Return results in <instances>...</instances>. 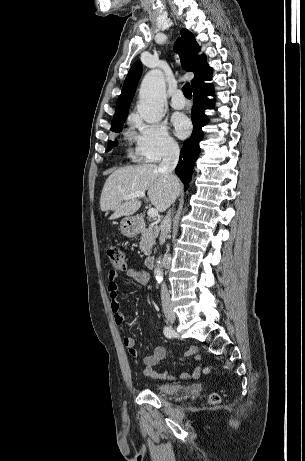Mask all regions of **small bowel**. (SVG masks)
<instances>
[{
  "label": "small bowel",
  "mask_w": 305,
  "mask_h": 461,
  "mask_svg": "<svg viewBox=\"0 0 305 461\" xmlns=\"http://www.w3.org/2000/svg\"><path fill=\"white\" fill-rule=\"evenodd\" d=\"M126 277L135 279L139 283H145L147 281V274L142 271H138L134 266H129L126 271L123 272ZM118 274L114 271H109L107 275V291L111 301V311L113 314L114 321L117 325H122L125 321V316L121 310V305L118 301V289L119 282L117 280ZM124 346L127 348L129 354L132 357H136L138 352L135 348V339L133 337H125L123 339ZM167 352L163 346H155L153 352L150 355H147L143 359V374L145 376L154 378V379H173L174 376L170 375L167 371H158L154 367L163 359L166 358ZM192 356L194 361L198 364L195 370L192 373V376L197 378L200 375V363L201 357L197 353V348L191 346L188 348L187 352L183 357L177 358L179 360H185L186 358ZM190 377L189 373H182L180 375L181 379H188Z\"/></svg>",
  "instance_id": "small-bowel-1"
}]
</instances>
